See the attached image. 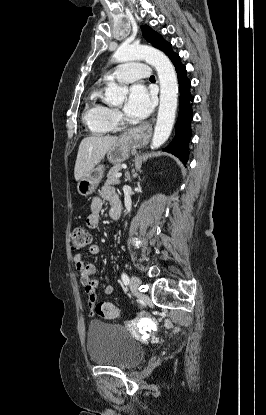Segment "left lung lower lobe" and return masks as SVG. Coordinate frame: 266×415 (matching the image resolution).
<instances>
[{
    "instance_id": "left-lung-lower-lobe-1",
    "label": "left lung lower lobe",
    "mask_w": 266,
    "mask_h": 415,
    "mask_svg": "<svg viewBox=\"0 0 266 415\" xmlns=\"http://www.w3.org/2000/svg\"><path fill=\"white\" fill-rule=\"evenodd\" d=\"M178 76L180 102L179 114L175 124V136L164 151L172 153L183 163H186L189 155L188 143L191 139L192 102L194 97L190 93L191 83L187 78L186 67L182 64L178 54L170 57Z\"/></svg>"
}]
</instances>
